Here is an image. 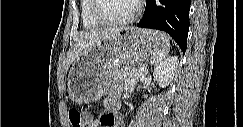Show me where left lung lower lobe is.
<instances>
[{"mask_svg": "<svg viewBox=\"0 0 243 127\" xmlns=\"http://www.w3.org/2000/svg\"><path fill=\"white\" fill-rule=\"evenodd\" d=\"M190 4V0H147L144 16L137 26L167 32L185 53Z\"/></svg>", "mask_w": 243, "mask_h": 127, "instance_id": "0a47b994", "label": "left lung lower lobe"}]
</instances>
